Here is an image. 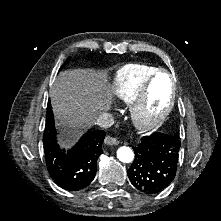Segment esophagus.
<instances>
[{
	"instance_id": "esophagus-1",
	"label": "esophagus",
	"mask_w": 221,
	"mask_h": 221,
	"mask_svg": "<svg viewBox=\"0 0 221 221\" xmlns=\"http://www.w3.org/2000/svg\"><path fill=\"white\" fill-rule=\"evenodd\" d=\"M105 144L107 145H118L119 141L117 138L107 135L104 139Z\"/></svg>"
}]
</instances>
